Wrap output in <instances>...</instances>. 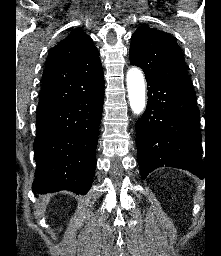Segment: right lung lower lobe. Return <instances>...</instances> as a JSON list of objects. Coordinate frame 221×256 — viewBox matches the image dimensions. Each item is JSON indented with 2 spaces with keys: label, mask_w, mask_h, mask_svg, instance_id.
I'll list each match as a JSON object with an SVG mask.
<instances>
[{
  "label": "right lung lower lobe",
  "mask_w": 221,
  "mask_h": 256,
  "mask_svg": "<svg viewBox=\"0 0 221 256\" xmlns=\"http://www.w3.org/2000/svg\"><path fill=\"white\" fill-rule=\"evenodd\" d=\"M103 100L104 88L37 113L33 192H88L96 167Z\"/></svg>",
  "instance_id": "obj_1"
}]
</instances>
